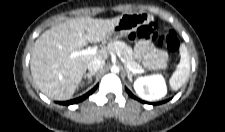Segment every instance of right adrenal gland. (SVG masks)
<instances>
[{"label":"right adrenal gland","instance_id":"obj_1","mask_svg":"<svg viewBox=\"0 0 225 132\" xmlns=\"http://www.w3.org/2000/svg\"><path fill=\"white\" fill-rule=\"evenodd\" d=\"M93 75H95L94 72H92V73H87V74H84V78H85V79L88 78L89 81L92 82V76H93Z\"/></svg>","mask_w":225,"mask_h":132}]
</instances>
